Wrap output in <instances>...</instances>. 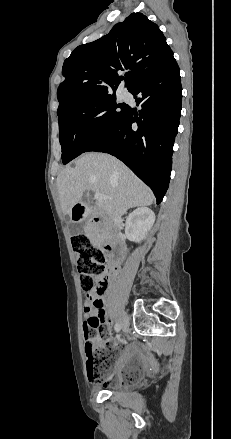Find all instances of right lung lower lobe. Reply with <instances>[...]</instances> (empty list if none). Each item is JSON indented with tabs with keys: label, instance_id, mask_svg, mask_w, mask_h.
Returning a JSON list of instances; mask_svg holds the SVG:
<instances>
[{
	"label": "right lung lower lobe",
	"instance_id": "right-lung-lower-lobe-1",
	"mask_svg": "<svg viewBox=\"0 0 231 439\" xmlns=\"http://www.w3.org/2000/svg\"><path fill=\"white\" fill-rule=\"evenodd\" d=\"M130 93L139 95V114L128 107L119 121L85 152L109 153L123 161L152 189L159 204L170 181L173 144L181 115V77L174 57Z\"/></svg>",
	"mask_w": 231,
	"mask_h": 439
}]
</instances>
